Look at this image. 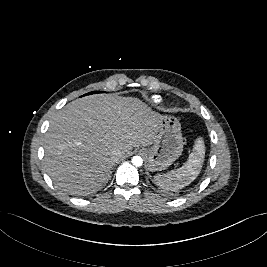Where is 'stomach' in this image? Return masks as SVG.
I'll list each match as a JSON object with an SVG mask.
<instances>
[{
	"label": "stomach",
	"mask_w": 267,
	"mask_h": 267,
	"mask_svg": "<svg viewBox=\"0 0 267 267\" xmlns=\"http://www.w3.org/2000/svg\"><path fill=\"white\" fill-rule=\"evenodd\" d=\"M181 124L174 116L159 115L158 134L150 148L144 149L150 171H161L169 167L183 151Z\"/></svg>",
	"instance_id": "1"
}]
</instances>
